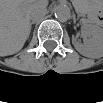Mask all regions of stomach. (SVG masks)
Segmentation results:
<instances>
[{
  "instance_id": "obj_1",
  "label": "stomach",
  "mask_w": 103,
  "mask_h": 103,
  "mask_svg": "<svg viewBox=\"0 0 103 103\" xmlns=\"http://www.w3.org/2000/svg\"><path fill=\"white\" fill-rule=\"evenodd\" d=\"M90 3L89 2H80L78 4H76V7L79 11H85L87 10V7H90Z\"/></svg>"
}]
</instances>
